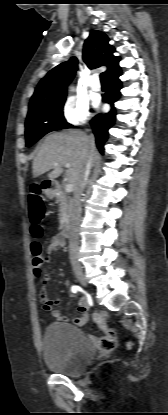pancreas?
<instances>
[{
	"label": "pancreas",
	"mask_w": 168,
	"mask_h": 415,
	"mask_svg": "<svg viewBox=\"0 0 168 415\" xmlns=\"http://www.w3.org/2000/svg\"><path fill=\"white\" fill-rule=\"evenodd\" d=\"M59 204V221L65 223L69 220L71 210V199L64 192H60L57 195V201Z\"/></svg>",
	"instance_id": "pancreas-1"
}]
</instances>
